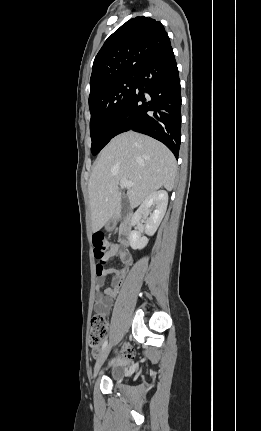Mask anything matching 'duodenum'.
<instances>
[{"label":"duodenum","instance_id":"duodenum-1","mask_svg":"<svg viewBox=\"0 0 261 431\" xmlns=\"http://www.w3.org/2000/svg\"><path fill=\"white\" fill-rule=\"evenodd\" d=\"M130 230H131V219L130 214L124 218L123 222L120 225V242L124 246H128L130 242Z\"/></svg>","mask_w":261,"mask_h":431}]
</instances>
